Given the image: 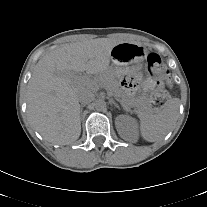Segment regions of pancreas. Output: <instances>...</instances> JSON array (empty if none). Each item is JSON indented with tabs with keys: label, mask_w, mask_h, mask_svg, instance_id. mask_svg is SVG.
<instances>
[{
	"label": "pancreas",
	"mask_w": 207,
	"mask_h": 207,
	"mask_svg": "<svg viewBox=\"0 0 207 207\" xmlns=\"http://www.w3.org/2000/svg\"><path fill=\"white\" fill-rule=\"evenodd\" d=\"M96 86H104L109 93L119 96L117 83L114 78L109 75H104L97 79ZM121 102L128 107L134 108L135 112L141 117H149L154 112L151 103L146 100L135 99L133 102H128L126 104L123 101Z\"/></svg>",
	"instance_id": "cf45deb5"
}]
</instances>
